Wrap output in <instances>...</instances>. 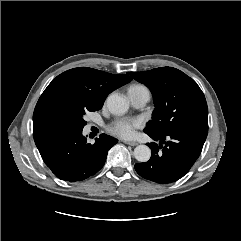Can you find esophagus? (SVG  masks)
Here are the masks:
<instances>
[{"instance_id": "esophagus-1", "label": "esophagus", "mask_w": 241, "mask_h": 241, "mask_svg": "<svg viewBox=\"0 0 241 241\" xmlns=\"http://www.w3.org/2000/svg\"><path fill=\"white\" fill-rule=\"evenodd\" d=\"M124 143L127 144V145H130V146H136V145H138V143L135 142V141H124Z\"/></svg>"}]
</instances>
